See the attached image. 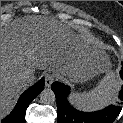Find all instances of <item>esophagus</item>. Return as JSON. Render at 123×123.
Here are the masks:
<instances>
[{
	"label": "esophagus",
	"instance_id": "34e87169",
	"mask_svg": "<svg viewBox=\"0 0 123 123\" xmlns=\"http://www.w3.org/2000/svg\"><path fill=\"white\" fill-rule=\"evenodd\" d=\"M44 78H45V86H46V87H50L51 84H52L53 81H54L53 75L50 74V73H46L45 76H44Z\"/></svg>",
	"mask_w": 123,
	"mask_h": 123
}]
</instances>
